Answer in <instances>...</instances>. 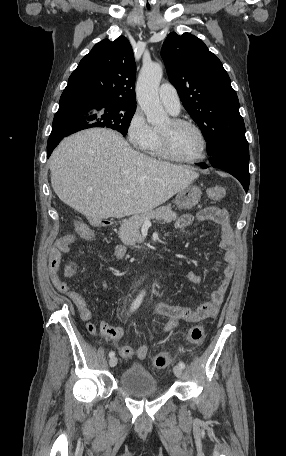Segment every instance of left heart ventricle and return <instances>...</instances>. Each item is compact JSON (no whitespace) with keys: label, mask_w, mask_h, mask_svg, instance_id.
I'll use <instances>...</instances> for the list:
<instances>
[{"label":"left heart ventricle","mask_w":286,"mask_h":456,"mask_svg":"<svg viewBox=\"0 0 286 456\" xmlns=\"http://www.w3.org/2000/svg\"><path fill=\"white\" fill-rule=\"evenodd\" d=\"M159 131L167 135L172 152L183 159L199 157L202 153V141L198 133L186 126H175L167 121Z\"/></svg>","instance_id":"b2bd125f"}]
</instances>
